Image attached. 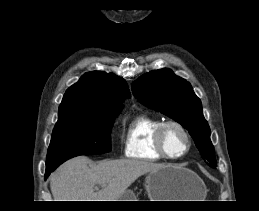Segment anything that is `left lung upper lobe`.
Here are the masks:
<instances>
[{
    "label": "left lung upper lobe",
    "mask_w": 259,
    "mask_h": 211,
    "mask_svg": "<svg viewBox=\"0 0 259 211\" xmlns=\"http://www.w3.org/2000/svg\"><path fill=\"white\" fill-rule=\"evenodd\" d=\"M135 97L146 106L160 111L184 126L195 141L202 157L216 167L210 128L203 116L200 99L185 79L169 69L152 71L132 84Z\"/></svg>",
    "instance_id": "left-lung-upper-lobe-1"
}]
</instances>
